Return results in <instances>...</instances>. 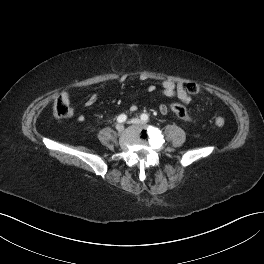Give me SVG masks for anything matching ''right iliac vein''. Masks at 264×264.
<instances>
[{
	"label": "right iliac vein",
	"instance_id": "1",
	"mask_svg": "<svg viewBox=\"0 0 264 264\" xmlns=\"http://www.w3.org/2000/svg\"><path fill=\"white\" fill-rule=\"evenodd\" d=\"M116 130H117L118 132H122V131L124 130V126H123L122 124H117V125H116Z\"/></svg>",
	"mask_w": 264,
	"mask_h": 264
}]
</instances>
